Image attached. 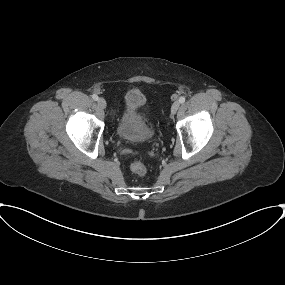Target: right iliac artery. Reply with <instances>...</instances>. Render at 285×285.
<instances>
[{
	"instance_id": "obj_1",
	"label": "right iliac artery",
	"mask_w": 285,
	"mask_h": 285,
	"mask_svg": "<svg viewBox=\"0 0 285 285\" xmlns=\"http://www.w3.org/2000/svg\"><path fill=\"white\" fill-rule=\"evenodd\" d=\"M93 100L97 101L98 100V96L96 94L92 95Z\"/></svg>"
}]
</instances>
